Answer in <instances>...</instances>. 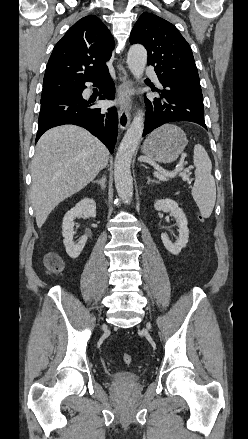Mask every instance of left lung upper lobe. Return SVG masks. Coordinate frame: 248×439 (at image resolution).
<instances>
[{"instance_id":"5c2ea615","label":"left lung upper lobe","mask_w":248,"mask_h":439,"mask_svg":"<svg viewBox=\"0 0 248 439\" xmlns=\"http://www.w3.org/2000/svg\"><path fill=\"white\" fill-rule=\"evenodd\" d=\"M130 43L146 48L148 65L154 66L160 81L201 92L191 47L173 24L143 13L133 27Z\"/></svg>"}]
</instances>
